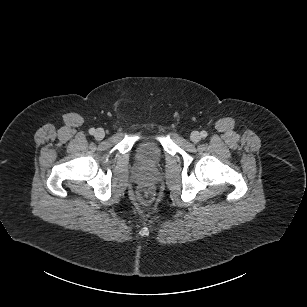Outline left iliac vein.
I'll return each mask as SVG.
<instances>
[{
  "label": "left iliac vein",
  "mask_w": 307,
  "mask_h": 307,
  "mask_svg": "<svg viewBox=\"0 0 307 307\" xmlns=\"http://www.w3.org/2000/svg\"><path fill=\"white\" fill-rule=\"evenodd\" d=\"M190 139L194 143H198L201 140V134L198 131H193L190 135Z\"/></svg>",
  "instance_id": "left-iliac-vein-1"
}]
</instances>
